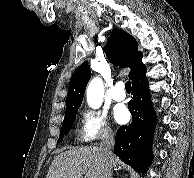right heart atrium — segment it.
Returning a JSON list of instances; mask_svg holds the SVG:
<instances>
[{"mask_svg":"<svg viewBox=\"0 0 194 178\" xmlns=\"http://www.w3.org/2000/svg\"><path fill=\"white\" fill-rule=\"evenodd\" d=\"M113 132L105 114L85 108L79 113L76 138L82 144H91L97 140L110 138Z\"/></svg>","mask_w":194,"mask_h":178,"instance_id":"obj_1","label":"right heart atrium"}]
</instances>
